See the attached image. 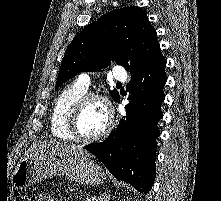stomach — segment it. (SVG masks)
<instances>
[{"mask_svg":"<svg viewBox=\"0 0 221 201\" xmlns=\"http://www.w3.org/2000/svg\"><path fill=\"white\" fill-rule=\"evenodd\" d=\"M60 172L71 181L96 186L105 179L102 168L95 164L88 154L61 156L34 154L22 158L11 176V183L17 189L51 178Z\"/></svg>","mask_w":221,"mask_h":201,"instance_id":"0dacf381","label":"stomach"}]
</instances>
